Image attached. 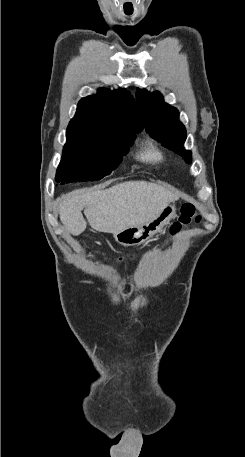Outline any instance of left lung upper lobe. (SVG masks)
Here are the masks:
<instances>
[{
	"label": "left lung upper lobe",
	"mask_w": 245,
	"mask_h": 457,
	"mask_svg": "<svg viewBox=\"0 0 245 457\" xmlns=\"http://www.w3.org/2000/svg\"><path fill=\"white\" fill-rule=\"evenodd\" d=\"M136 99L150 136L190 163L191 151L183 148L187 135L185 127L178 120V110L165 103L159 92L150 94L144 89H138Z\"/></svg>",
	"instance_id": "5c2ea615"
}]
</instances>
